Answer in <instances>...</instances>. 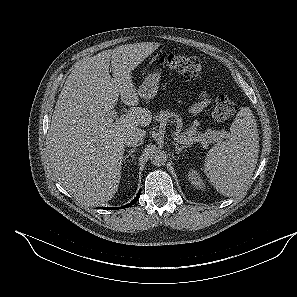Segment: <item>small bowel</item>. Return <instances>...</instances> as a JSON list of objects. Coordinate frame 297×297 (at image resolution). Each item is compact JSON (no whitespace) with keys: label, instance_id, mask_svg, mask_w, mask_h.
Wrapping results in <instances>:
<instances>
[{"label":"small bowel","instance_id":"obj_1","mask_svg":"<svg viewBox=\"0 0 297 297\" xmlns=\"http://www.w3.org/2000/svg\"><path fill=\"white\" fill-rule=\"evenodd\" d=\"M210 103V99L206 93H201L197 102L191 107L192 114H198Z\"/></svg>","mask_w":297,"mask_h":297}]
</instances>
